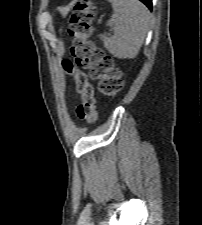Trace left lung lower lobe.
<instances>
[{
  "mask_svg": "<svg viewBox=\"0 0 202 225\" xmlns=\"http://www.w3.org/2000/svg\"><path fill=\"white\" fill-rule=\"evenodd\" d=\"M143 2L149 9L152 8V0H140Z\"/></svg>",
  "mask_w": 202,
  "mask_h": 225,
  "instance_id": "1",
  "label": "left lung lower lobe"
}]
</instances>
